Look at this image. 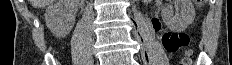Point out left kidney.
Listing matches in <instances>:
<instances>
[{"label":"left kidney","mask_w":232,"mask_h":65,"mask_svg":"<svg viewBox=\"0 0 232 65\" xmlns=\"http://www.w3.org/2000/svg\"><path fill=\"white\" fill-rule=\"evenodd\" d=\"M180 7V14L174 16L173 11L165 9L162 11V19L167 27L176 32H181L194 21L195 8L191 0H176Z\"/></svg>","instance_id":"left-kidney-1"}]
</instances>
